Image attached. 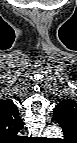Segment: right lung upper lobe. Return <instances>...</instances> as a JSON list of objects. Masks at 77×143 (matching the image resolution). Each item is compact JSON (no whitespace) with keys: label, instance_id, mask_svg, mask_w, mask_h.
I'll return each instance as SVG.
<instances>
[{"label":"right lung upper lobe","instance_id":"1","mask_svg":"<svg viewBox=\"0 0 77 143\" xmlns=\"http://www.w3.org/2000/svg\"><path fill=\"white\" fill-rule=\"evenodd\" d=\"M23 122L17 106L9 101H0V131L3 134L15 136L22 128Z\"/></svg>","mask_w":77,"mask_h":143}]
</instances>
